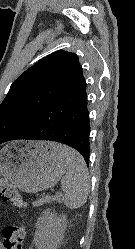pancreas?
Instances as JSON below:
<instances>
[{"label": "pancreas", "mask_w": 135, "mask_h": 249, "mask_svg": "<svg viewBox=\"0 0 135 249\" xmlns=\"http://www.w3.org/2000/svg\"><path fill=\"white\" fill-rule=\"evenodd\" d=\"M53 201H54V198H52L50 196H46V197L39 198L38 200L33 202V206H41L43 204H48V203H51Z\"/></svg>", "instance_id": "cf45deb5"}]
</instances>
